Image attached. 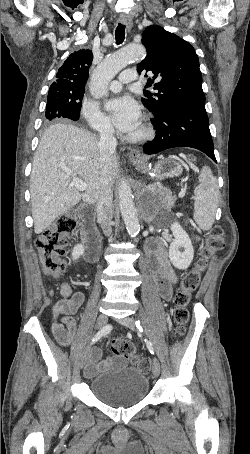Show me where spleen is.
Masks as SVG:
<instances>
[{
	"mask_svg": "<svg viewBox=\"0 0 250 454\" xmlns=\"http://www.w3.org/2000/svg\"><path fill=\"white\" fill-rule=\"evenodd\" d=\"M199 184L194 189L193 218L202 230H209L218 208L219 188L210 167L204 166L199 175Z\"/></svg>",
	"mask_w": 250,
	"mask_h": 454,
	"instance_id": "3e777b00",
	"label": "spleen"
}]
</instances>
